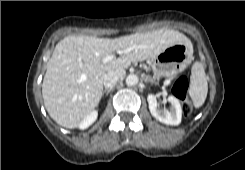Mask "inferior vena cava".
<instances>
[{
	"label": "inferior vena cava",
	"instance_id": "inferior-vena-cava-1",
	"mask_svg": "<svg viewBox=\"0 0 245 170\" xmlns=\"http://www.w3.org/2000/svg\"><path fill=\"white\" fill-rule=\"evenodd\" d=\"M125 71H121V72H116V71H112L109 72L105 75L104 77V86L106 89H111L115 86V84L117 83V81L124 76Z\"/></svg>",
	"mask_w": 245,
	"mask_h": 170
}]
</instances>
